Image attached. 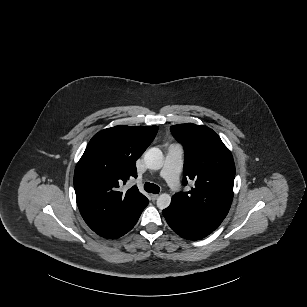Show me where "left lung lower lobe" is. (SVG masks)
Instances as JSON below:
<instances>
[{
    "label": "left lung lower lobe",
    "instance_id": "0a47b994",
    "mask_svg": "<svg viewBox=\"0 0 307 307\" xmlns=\"http://www.w3.org/2000/svg\"><path fill=\"white\" fill-rule=\"evenodd\" d=\"M163 215L169 226L181 237L189 240H198L206 237L215 229L195 220L188 215L177 202L171 201Z\"/></svg>",
    "mask_w": 307,
    "mask_h": 307
}]
</instances>
